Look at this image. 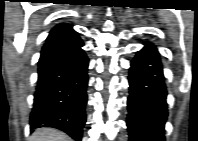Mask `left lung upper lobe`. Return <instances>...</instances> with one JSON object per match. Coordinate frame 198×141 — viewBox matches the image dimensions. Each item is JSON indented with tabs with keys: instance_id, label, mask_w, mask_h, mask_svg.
Listing matches in <instances>:
<instances>
[{
	"instance_id": "1",
	"label": "left lung upper lobe",
	"mask_w": 198,
	"mask_h": 141,
	"mask_svg": "<svg viewBox=\"0 0 198 141\" xmlns=\"http://www.w3.org/2000/svg\"><path fill=\"white\" fill-rule=\"evenodd\" d=\"M144 103H148V101L147 100H144ZM146 106V105H145Z\"/></svg>"
}]
</instances>
